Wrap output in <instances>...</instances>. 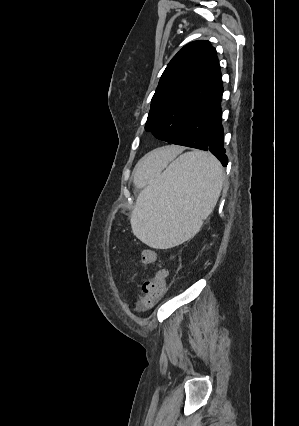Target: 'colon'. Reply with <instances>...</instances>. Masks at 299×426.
Wrapping results in <instances>:
<instances>
[{
    "label": "colon",
    "mask_w": 299,
    "mask_h": 426,
    "mask_svg": "<svg viewBox=\"0 0 299 426\" xmlns=\"http://www.w3.org/2000/svg\"><path fill=\"white\" fill-rule=\"evenodd\" d=\"M159 254L154 249L144 250L141 255L143 264L155 263ZM168 272L165 269L156 271L152 277L146 280L141 286L139 294V304L142 310H149L155 306L166 290Z\"/></svg>",
    "instance_id": "colon-1"
}]
</instances>
